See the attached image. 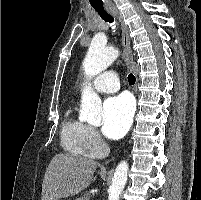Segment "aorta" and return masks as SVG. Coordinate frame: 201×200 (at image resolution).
I'll return each instance as SVG.
<instances>
[{
	"label": "aorta",
	"mask_w": 201,
	"mask_h": 200,
	"mask_svg": "<svg viewBox=\"0 0 201 200\" xmlns=\"http://www.w3.org/2000/svg\"><path fill=\"white\" fill-rule=\"evenodd\" d=\"M118 57V51L113 47L93 41L83 62V69L87 77L91 78L109 67ZM81 119L92 125L101 123V99L86 87L81 98ZM128 163L120 162L114 173L112 185L109 189L108 200H119V196L127 182Z\"/></svg>",
	"instance_id": "762f6f07"
}]
</instances>
